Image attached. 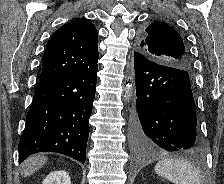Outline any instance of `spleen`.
<instances>
[{
    "label": "spleen",
    "instance_id": "obj_1",
    "mask_svg": "<svg viewBox=\"0 0 224 184\" xmlns=\"http://www.w3.org/2000/svg\"><path fill=\"white\" fill-rule=\"evenodd\" d=\"M157 174L175 184H202L199 170L183 160L164 159L154 167Z\"/></svg>",
    "mask_w": 224,
    "mask_h": 184
}]
</instances>
